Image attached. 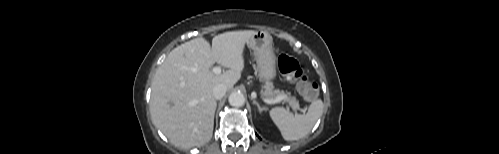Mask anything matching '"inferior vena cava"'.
Here are the masks:
<instances>
[{
  "label": "inferior vena cava",
  "instance_id": "602c4592",
  "mask_svg": "<svg viewBox=\"0 0 499 154\" xmlns=\"http://www.w3.org/2000/svg\"><path fill=\"white\" fill-rule=\"evenodd\" d=\"M227 86L224 84H217L213 88V96L215 99H221L227 92Z\"/></svg>",
  "mask_w": 499,
  "mask_h": 154
}]
</instances>
